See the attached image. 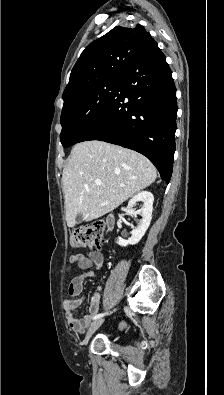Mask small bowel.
Instances as JSON below:
<instances>
[{"instance_id": "obj_1", "label": "small bowel", "mask_w": 224, "mask_h": 395, "mask_svg": "<svg viewBox=\"0 0 224 395\" xmlns=\"http://www.w3.org/2000/svg\"><path fill=\"white\" fill-rule=\"evenodd\" d=\"M103 264V255L100 251L92 250L88 254H74L69 258V267L76 266L82 270L83 273L72 277L68 285V294L74 299L67 300L64 302L65 315L69 324V327L75 332H83L86 327L91 323L94 315L99 310L101 289L99 286L96 293L94 294L90 303L88 314L78 319L74 316V312L81 305L84 300L83 293V282L86 278L92 277L95 274L94 269H99Z\"/></svg>"}]
</instances>
